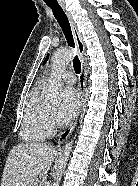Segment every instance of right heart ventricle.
Masks as SVG:
<instances>
[{"instance_id": "1", "label": "right heart ventricle", "mask_w": 138, "mask_h": 186, "mask_svg": "<svg viewBox=\"0 0 138 186\" xmlns=\"http://www.w3.org/2000/svg\"><path fill=\"white\" fill-rule=\"evenodd\" d=\"M42 85L31 94L20 128V136L25 142H38L50 136L49 111L41 95Z\"/></svg>"}]
</instances>
